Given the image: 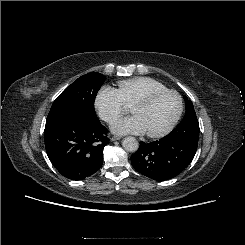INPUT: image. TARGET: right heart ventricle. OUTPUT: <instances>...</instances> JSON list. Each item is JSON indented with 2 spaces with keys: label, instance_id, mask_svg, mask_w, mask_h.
<instances>
[{
  "label": "right heart ventricle",
  "instance_id": "e07e8e85",
  "mask_svg": "<svg viewBox=\"0 0 245 245\" xmlns=\"http://www.w3.org/2000/svg\"><path fill=\"white\" fill-rule=\"evenodd\" d=\"M167 87L150 77H135L118 82V93L125 104H132L137 98Z\"/></svg>",
  "mask_w": 245,
  "mask_h": 245
}]
</instances>
